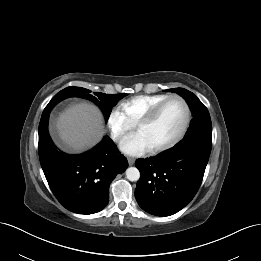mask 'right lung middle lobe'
<instances>
[{"label": "right lung middle lobe", "mask_w": 261, "mask_h": 261, "mask_svg": "<svg viewBox=\"0 0 261 261\" xmlns=\"http://www.w3.org/2000/svg\"><path fill=\"white\" fill-rule=\"evenodd\" d=\"M91 91L81 87H67L58 92L49 102L46 107L53 108L58 102L67 97H82L95 102L102 110L106 121L108 120L111 108L117 104V102L126 96L125 93L111 95L104 93H95L96 97L90 94Z\"/></svg>", "instance_id": "1"}]
</instances>
